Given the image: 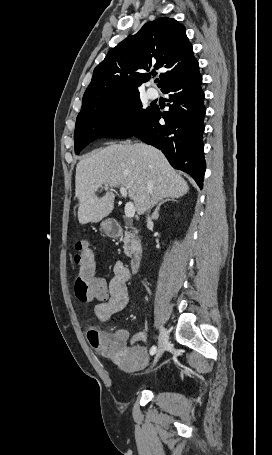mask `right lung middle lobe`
I'll return each mask as SVG.
<instances>
[{
	"label": "right lung middle lobe",
	"instance_id": "1",
	"mask_svg": "<svg viewBox=\"0 0 272 455\" xmlns=\"http://www.w3.org/2000/svg\"><path fill=\"white\" fill-rule=\"evenodd\" d=\"M155 108H143L139 94H136L79 113L74 132L76 154L98 138L133 136L149 119Z\"/></svg>",
	"mask_w": 272,
	"mask_h": 455
}]
</instances>
